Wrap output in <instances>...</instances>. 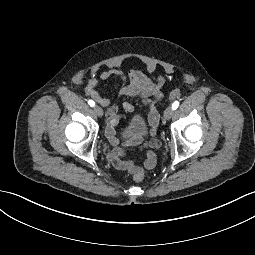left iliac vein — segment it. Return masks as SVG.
I'll return each instance as SVG.
<instances>
[{
	"label": "left iliac vein",
	"mask_w": 255,
	"mask_h": 255,
	"mask_svg": "<svg viewBox=\"0 0 255 255\" xmlns=\"http://www.w3.org/2000/svg\"><path fill=\"white\" fill-rule=\"evenodd\" d=\"M173 113H174V110H173L172 107L166 108V110L164 111V115H163L164 119L165 120H170Z\"/></svg>",
	"instance_id": "1"
}]
</instances>
